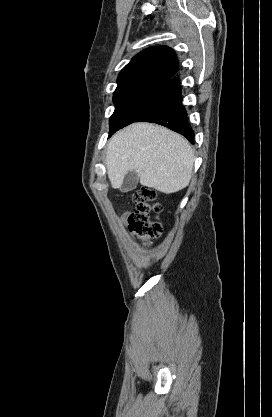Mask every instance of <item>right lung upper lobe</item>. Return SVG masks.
Listing matches in <instances>:
<instances>
[{
  "mask_svg": "<svg viewBox=\"0 0 272 417\" xmlns=\"http://www.w3.org/2000/svg\"><path fill=\"white\" fill-rule=\"evenodd\" d=\"M177 71L178 61L171 48L145 49L122 69L114 94L134 89H163Z\"/></svg>",
  "mask_w": 272,
  "mask_h": 417,
  "instance_id": "obj_1",
  "label": "right lung upper lobe"
}]
</instances>
